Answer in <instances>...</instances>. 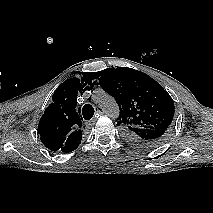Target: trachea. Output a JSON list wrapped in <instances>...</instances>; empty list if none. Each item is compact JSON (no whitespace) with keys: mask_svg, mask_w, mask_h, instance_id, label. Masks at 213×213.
I'll use <instances>...</instances> for the list:
<instances>
[{"mask_svg":"<svg viewBox=\"0 0 213 213\" xmlns=\"http://www.w3.org/2000/svg\"><path fill=\"white\" fill-rule=\"evenodd\" d=\"M94 108L90 104H85L82 108V114L85 120H90L94 115Z\"/></svg>","mask_w":213,"mask_h":213,"instance_id":"obj_1","label":"trachea"}]
</instances>
